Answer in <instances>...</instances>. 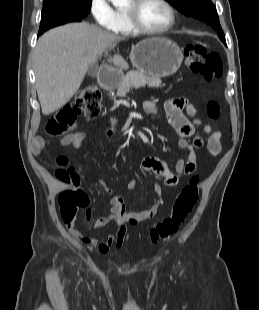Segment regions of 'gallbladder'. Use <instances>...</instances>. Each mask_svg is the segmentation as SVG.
<instances>
[{"instance_id":"bac80fb5","label":"gallbladder","mask_w":259,"mask_h":310,"mask_svg":"<svg viewBox=\"0 0 259 310\" xmlns=\"http://www.w3.org/2000/svg\"><path fill=\"white\" fill-rule=\"evenodd\" d=\"M95 66H96V65H95ZM91 76H92V77H94V74H93V72H91Z\"/></svg>"}]
</instances>
